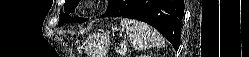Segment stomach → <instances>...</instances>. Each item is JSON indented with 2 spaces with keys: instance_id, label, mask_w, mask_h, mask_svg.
Returning a JSON list of instances; mask_svg holds the SVG:
<instances>
[{
  "instance_id": "0dacf381",
  "label": "stomach",
  "mask_w": 249,
  "mask_h": 57,
  "mask_svg": "<svg viewBox=\"0 0 249 57\" xmlns=\"http://www.w3.org/2000/svg\"><path fill=\"white\" fill-rule=\"evenodd\" d=\"M110 32L98 33L86 40L85 50L89 57H104L110 45Z\"/></svg>"
}]
</instances>
